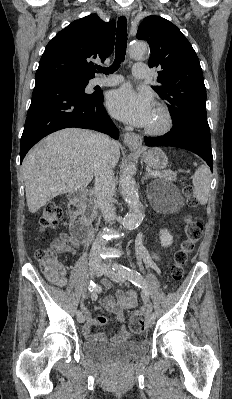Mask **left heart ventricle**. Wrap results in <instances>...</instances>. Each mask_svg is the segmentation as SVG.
Listing matches in <instances>:
<instances>
[{"label": "left heart ventricle", "instance_id": "b2bd125f", "mask_svg": "<svg viewBox=\"0 0 232 399\" xmlns=\"http://www.w3.org/2000/svg\"><path fill=\"white\" fill-rule=\"evenodd\" d=\"M161 123H162V117H161L157 107H155L154 115H153L151 121L145 127H143V129L157 128L161 125Z\"/></svg>", "mask_w": 232, "mask_h": 399}]
</instances>
